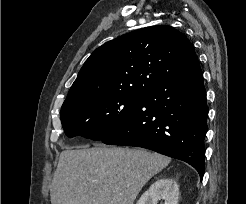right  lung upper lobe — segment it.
Listing matches in <instances>:
<instances>
[{"mask_svg":"<svg viewBox=\"0 0 246 204\" xmlns=\"http://www.w3.org/2000/svg\"><path fill=\"white\" fill-rule=\"evenodd\" d=\"M196 61L192 43L173 27L158 25L132 31L93 51L62 108L102 95L142 94Z\"/></svg>","mask_w":246,"mask_h":204,"instance_id":"1","label":"right lung upper lobe"}]
</instances>
